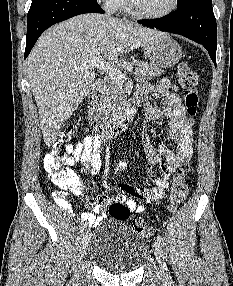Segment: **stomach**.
Masks as SVG:
<instances>
[{"label":"stomach","mask_w":233,"mask_h":286,"mask_svg":"<svg viewBox=\"0 0 233 286\" xmlns=\"http://www.w3.org/2000/svg\"><path fill=\"white\" fill-rule=\"evenodd\" d=\"M145 55L152 66L169 68L182 58V49L168 34L145 46Z\"/></svg>","instance_id":"1"}]
</instances>
